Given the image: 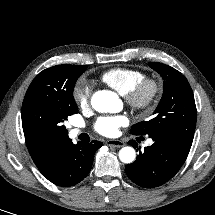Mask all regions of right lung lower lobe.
<instances>
[{"label":"right lung lower lobe","instance_id":"98d812e1","mask_svg":"<svg viewBox=\"0 0 215 215\" xmlns=\"http://www.w3.org/2000/svg\"><path fill=\"white\" fill-rule=\"evenodd\" d=\"M101 146L100 141L75 145L69 139L58 149L49 172L43 175L58 186L76 185L90 172L94 154Z\"/></svg>","mask_w":215,"mask_h":215}]
</instances>
